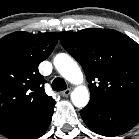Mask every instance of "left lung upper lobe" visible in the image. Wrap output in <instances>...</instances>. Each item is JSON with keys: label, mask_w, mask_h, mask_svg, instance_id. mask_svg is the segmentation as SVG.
<instances>
[{"label": "left lung upper lobe", "mask_w": 139, "mask_h": 139, "mask_svg": "<svg viewBox=\"0 0 139 139\" xmlns=\"http://www.w3.org/2000/svg\"><path fill=\"white\" fill-rule=\"evenodd\" d=\"M63 47L83 67L89 104L113 107L139 101V45L111 29L60 32Z\"/></svg>", "instance_id": "5c2ea615"}]
</instances>
